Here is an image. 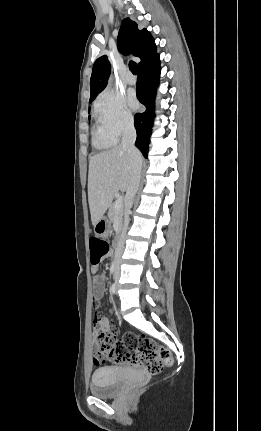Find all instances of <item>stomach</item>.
Instances as JSON below:
<instances>
[{"mask_svg":"<svg viewBox=\"0 0 261 431\" xmlns=\"http://www.w3.org/2000/svg\"><path fill=\"white\" fill-rule=\"evenodd\" d=\"M111 229V223L106 217H102L95 225L94 232L99 237H107Z\"/></svg>","mask_w":261,"mask_h":431,"instance_id":"1","label":"stomach"}]
</instances>
